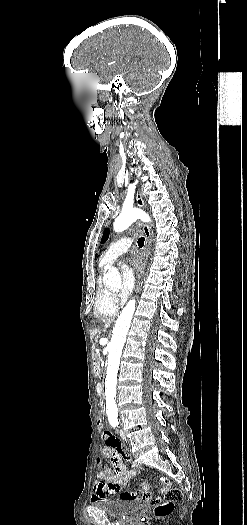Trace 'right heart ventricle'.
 <instances>
[{
	"instance_id": "1",
	"label": "right heart ventricle",
	"mask_w": 247,
	"mask_h": 525,
	"mask_svg": "<svg viewBox=\"0 0 247 525\" xmlns=\"http://www.w3.org/2000/svg\"><path fill=\"white\" fill-rule=\"evenodd\" d=\"M99 276L97 279V301L94 307L95 317H116L118 314V306L116 304L108 305L105 301L107 296L106 283L103 278V272L108 266V262L104 257L99 260Z\"/></svg>"
}]
</instances>
